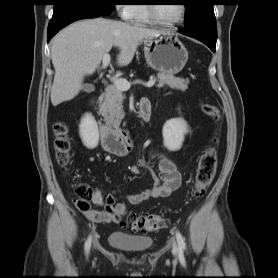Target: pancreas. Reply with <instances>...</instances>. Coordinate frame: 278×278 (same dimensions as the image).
Segmentation results:
<instances>
[{"label": "pancreas", "mask_w": 278, "mask_h": 278, "mask_svg": "<svg viewBox=\"0 0 278 278\" xmlns=\"http://www.w3.org/2000/svg\"><path fill=\"white\" fill-rule=\"evenodd\" d=\"M157 78V87L159 88L168 85L172 89L182 91L188 89V79L178 78L166 73H159ZM123 99V91L118 89L115 85L106 88L105 93L102 95L100 111L108 123L117 125L123 119Z\"/></svg>", "instance_id": "pancreas-1"}]
</instances>
